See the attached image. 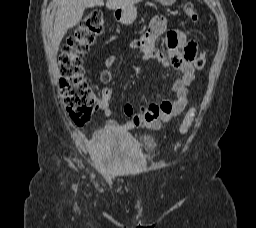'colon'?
Wrapping results in <instances>:
<instances>
[{
    "mask_svg": "<svg viewBox=\"0 0 256 228\" xmlns=\"http://www.w3.org/2000/svg\"><path fill=\"white\" fill-rule=\"evenodd\" d=\"M185 9L193 20H197L198 16L192 3L188 2ZM103 29L102 13L91 11L84 17L75 33L67 39L58 57L61 94L71 119L76 123L87 122L100 107V99L85 79L83 56ZM205 63V53L196 55L193 60L196 69L203 68ZM194 115L195 108L192 107L179 125L180 134L187 133Z\"/></svg>",
    "mask_w": 256,
    "mask_h": 228,
    "instance_id": "obj_1",
    "label": "colon"
}]
</instances>
